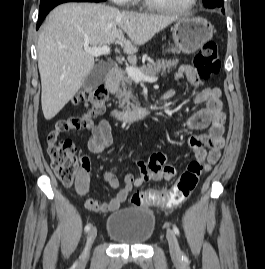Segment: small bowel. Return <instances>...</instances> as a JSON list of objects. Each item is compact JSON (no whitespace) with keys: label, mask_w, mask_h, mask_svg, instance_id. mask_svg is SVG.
Instances as JSON below:
<instances>
[{"label":"small bowel","mask_w":265,"mask_h":269,"mask_svg":"<svg viewBox=\"0 0 265 269\" xmlns=\"http://www.w3.org/2000/svg\"><path fill=\"white\" fill-rule=\"evenodd\" d=\"M177 78H186L194 86L200 84L199 74L196 69L190 65H183L177 72ZM174 95V90H170L163 95V100L169 99ZM221 91L218 87H207L199 90L195 97L196 104H205L206 106L185 122V126L191 130H203L210 128V138L193 135L188 139V146L195 157L205 161L206 169H209L219 158L220 149L224 146V137L222 135V124L225 120V114L222 112L220 101ZM90 136L87 142L88 150L92 153H101L112 143L111 122L108 119L101 120L98 124L90 126ZM210 141L209 147H207ZM134 164L139 171L138 176L127 174L123 188L118 189V179L116 168L106 170L103 173L104 182L115 190L113 197L108 202H99L88 197L90 182V162L87 158L82 159V167L78 174L75 190L81 196L89 210L109 213L117 211L121 204L126 201L131 191L143 184L153 181H169L174 178L176 168L168 163L167 155L164 152H155L151 154L147 161L135 159Z\"/></svg>","instance_id":"obj_1"}]
</instances>
